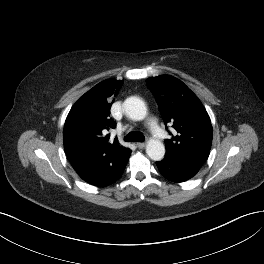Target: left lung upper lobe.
Here are the masks:
<instances>
[{
    "label": "left lung upper lobe",
    "instance_id": "left-lung-upper-lobe-1",
    "mask_svg": "<svg viewBox=\"0 0 264 264\" xmlns=\"http://www.w3.org/2000/svg\"><path fill=\"white\" fill-rule=\"evenodd\" d=\"M155 96L165 124L176 130L165 140V158L179 164L201 167L209 156L212 126L197 96L179 79L160 75L146 80Z\"/></svg>",
    "mask_w": 264,
    "mask_h": 264
}]
</instances>
